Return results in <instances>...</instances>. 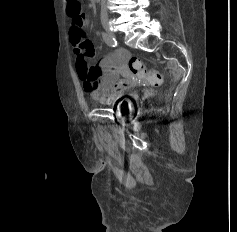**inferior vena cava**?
<instances>
[{"label":"inferior vena cava","instance_id":"obj_1","mask_svg":"<svg viewBox=\"0 0 237 232\" xmlns=\"http://www.w3.org/2000/svg\"><path fill=\"white\" fill-rule=\"evenodd\" d=\"M101 20L102 21H107L108 20L106 0H101Z\"/></svg>","mask_w":237,"mask_h":232}]
</instances>
